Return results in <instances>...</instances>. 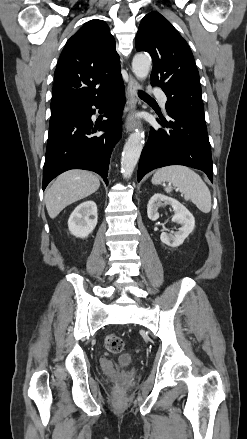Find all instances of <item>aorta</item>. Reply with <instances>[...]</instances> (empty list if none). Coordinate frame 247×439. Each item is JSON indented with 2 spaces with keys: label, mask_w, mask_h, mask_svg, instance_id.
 Returning a JSON list of instances; mask_svg holds the SVG:
<instances>
[{
  "label": "aorta",
  "mask_w": 247,
  "mask_h": 439,
  "mask_svg": "<svg viewBox=\"0 0 247 439\" xmlns=\"http://www.w3.org/2000/svg\"><path fill=\"white\" fill-rule=\"evenodd\" d=\"M151 68V57L147 54H137L132 61V71L139 80L145 79ZM144 144V132L136 130L124 145L121 157V172L124 178H130L140 158Z\"/></svg>",
  "instance_id": "762f6f07"
}]
</instances>
